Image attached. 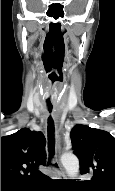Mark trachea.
I'll list each match as a JSON object with an SVG mask.
<instances>
[{"label": "trachea", "instance_id": "trachea-1", "mask_svg": "<svg viewBox=\"0 0 115 191\" xmlns=\"http://www.w3.org/2000/svg\"><path fill=\"white\" fill-rule=\"evenodd\" d=\"M51 112V110H50ZM54 122L52 117L50 116L48 119V150H49V163L50 160L53 158L55 153V138H54Z\"/></svg>", "mask_w": 115, "mask_h": 191}]
</instances>
